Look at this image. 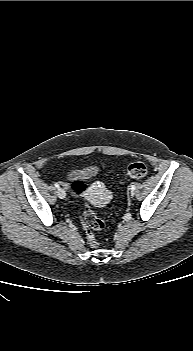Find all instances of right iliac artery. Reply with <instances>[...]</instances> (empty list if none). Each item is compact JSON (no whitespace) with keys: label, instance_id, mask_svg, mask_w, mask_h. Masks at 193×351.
Here are the masks:
<instances>
[{"label":"right iliac artery","instance_id":"obj_1","mask_svg":"<svg viewBox=\"0 0 193 351\" xmlns=\"http://www.w3.org/2000/svg\"><path fill=\"white\" fill-rule=\"evenodd\" d=\"M54 185H55L56 188H60L58 183H55Z\"/></svg>","mask_w":193,"mask_h":351}]
</instances>
